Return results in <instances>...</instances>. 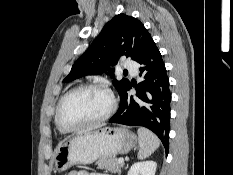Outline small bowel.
Here are the masks:
<instances>
[{"instance_id": "c3829d8e", "label": "small bowel", "mask_w": 233, "mask_h": 175, "mask_svg": "<svg viewBox=\"0 0 233 175\" xmlns=\"http://www.w3.org/2000/svg\"><path fill=\"white\" fill-rule=\"evenodd\" d=\"M68 175H109V174L79 170V171H71Z\"/></svg>"}]
</instances>
